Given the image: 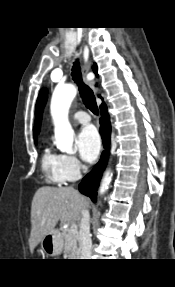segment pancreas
<instances>
[{
    "instance_id": "1",
    "label": "pancreas",
    "mask_w": 175,
    "mask_h": 287,
    "mask_svg": "<svg viewBox=\"0 0 175 287\" xmlns=\"http://www.w3.org/2000/svg\"><path fill=\"white\" fill-rule=\"evenodd\" d=\"M61 231L64 238L65 252H67L71 258L78 257L80 255V242L78 232L71 233L69 228H62Z\"/></svg>"
}]
</instances>
